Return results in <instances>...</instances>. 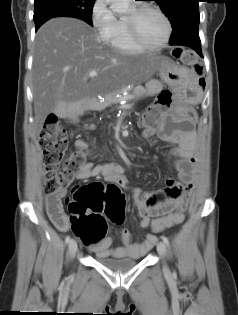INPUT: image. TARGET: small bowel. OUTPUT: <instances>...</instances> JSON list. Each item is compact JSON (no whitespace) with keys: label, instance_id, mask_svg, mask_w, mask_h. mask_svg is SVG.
Listing matches in <instances>:
<instances>
[{"label":"small bowel","instance_id":"c3829d8e","mask_svg":"<svg viewBox=\"0 0 238 315\" xmlns=\"http://www.w3.org/2000/svg\"><path fill=\"white\" fill-rule=\"evenodd\" d=\"M154 134L153 129H146L143 136L150 139ZM160 137L167 142H175L177 145L170 150V155L176 158L175 167L178 171L179 182L175 183L172 179L167 180L168 188L163 193L151 194L139 188L131 189L140 217V226L146 228L150 224L152 217L156 216H177V223H166L165 228L179 224L183 220V211L186 207L192 189L194 176L193 144L194 136L192 133H184L173 129H161ZM76 149L85 147L82 140L74 142ZM94 177H102L104 180L114 182L123 188L127 187V179L124 176V169L118 163H107L103 165H94L91 162L85 163L76 178L80 181L88 180ZM66 191L60 190L54 196L48 195L47 212L53 224L62 232L71 230V224L62 210V199ZM56 199V204L52 199ZM123 246L112 248L110 237H103L99 242L93 244L91 250L99 257H134L144 256L156 243L157 239L153 233L146 235L142 242H134L129 230H121Z\"/></svg>","mask_w":238,"mask_h":315}]
</instances>
